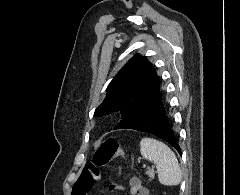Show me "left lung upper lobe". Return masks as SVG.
Segmentation results:
<instances>
[{"instance_id":"left-lung-upper-lobe-1","label":"left lung upper lobe","mask_w":240,"mask_h":195,"mask_svg":"<svg viewBox=\"0 0 240 195\" xmlns=\"http://www.w3.org/2000/svg\"><path fill=\"white\" fill-rule=\"evenodd\" d=\"M160 91V79L153 65L136 54L118 72L107 87L104 101L95 110V116L118 112L121 120L114 129L129 123Z\"/></svg>"}]
</instances>
